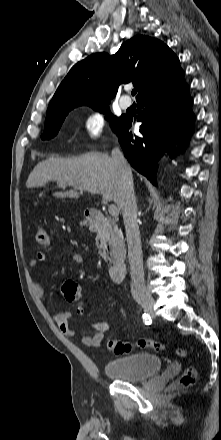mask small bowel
<instances>
[{
  "label": "small bowel",
  "mask_w": 221,
  "mask_h": 440,
  "mask_svg": "<svg viewBox=\"0 0 221 440\" xmlns=\"http://www.w3.org/2000/svg\"><path fill=\"white\" fill-rule=\"evenodd\" d=\"M69 261L73 264L79 265L83 262V258L80 254H71L68 257ZM46 262V254L44 252H38L37 255L30 261V269L33 272V282L36 293L44 299L45 290L43 281L40 275V270L44 263ZM71 313L66 312H53L51 317L53 321L57 324L59 330L65 335L71 338H78L81 343L88 347H98L104 338V333L109 330V324L107 322H97L92 325L95 329L93 335H81L74 329L70 323L69 318Z\"/></svg>",
  "instance_id": "1"
}]
</instances>
